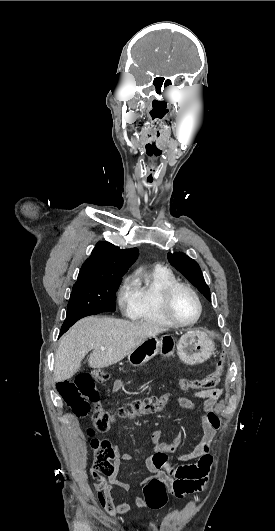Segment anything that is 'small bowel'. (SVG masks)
<instances>
[{"label": "small bowel", "instance_id": "c3829d8e", "mask_svg": "<svg viewBox=\"0 0 275 531\" xmlns=\"http://www.w3.org/2000/svg\"><path fill=\"white\" fill-rule=\"evenodd\" d=\"M115 380V377H112ZM120 380V377H117ZM125 383L116 382L114 389L116 391L125 390ZM222 388H216L207 391H197L188 397H178L177 404L184 409H196V401L202 402L201 411V428L202 437L195 447L185 453H178V447L181 444V435L176 436L171 442L162 441V433L154 430L151 433V442L154 447L153 454L145 459L146 469L156 478L164 482L171 495L182 498L187 494L195 493L202 490L208 479V475L213 465L211 455L212 443L216 436L217 430L221 426V420L216 410V403L223 395ZM107 443L106 441L93 440L92 447ZM176 454L183 462L171 473H166L164 468L167 465L168 455ZM132 458L130 453H117L115 465L127 462ZM89 474L96 480L94 489L96 499L102 509L111 518L127 515L131 507L126 501L119 499L115 494V489L129 491L131 485L118 478L114 472L108 477L97 475L94 469H90ZM134 504L138 509H146L145 499L139 494L134 496Z\"/></svg>", "mask_w": 275, "mask_h": 531}]
</instances>
